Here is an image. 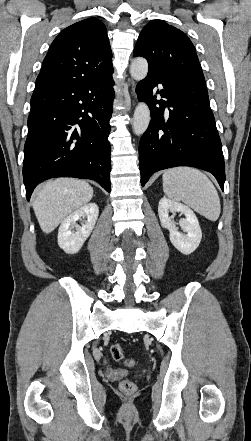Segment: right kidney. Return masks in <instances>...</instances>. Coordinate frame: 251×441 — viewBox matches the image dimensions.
<instances>
[{
  "label": "right kidney",
  "mask_w": 251,
  "mask_h": 441,
  "mask_svg": "<svg viewBox=\"0 0 251 441\" xmlns=\"http://www.w3.org/2000/svg\"><path fill=\"white\" fill-rule=\"evenodd\" d=\"M99 215V208L95 203H89L67 216L61 223L58 231V245L67 254L77 253L90 236ZM86 217L81 226L77 221ZM75 229V230H74Z\"/></svg>",
  "instance_id": "right-kidney-1"
}]
</instances>
